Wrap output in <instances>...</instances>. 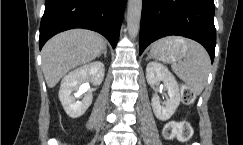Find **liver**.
<instances>
[{"mask_svg":"<svg viewBox=\"0 0 243 145\" xmlns=\"http://www.w3.org/2000/svg\"><path fill=\"white\" fill-rule=\"evenodd\" d=\"M106 46L103 38L89 30L73 29L51 38L42 49L46 83L53 88L71 69L98 57Z\"/></svg>","mask_w":243,"mask_h":145,"instance_id":"obj_1","label":"liver"}]
</instances>
